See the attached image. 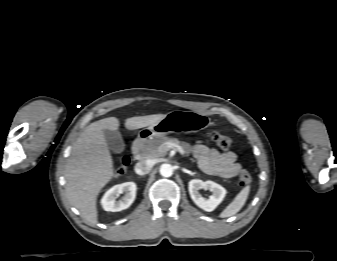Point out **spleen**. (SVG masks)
Returning <instances> with one entry per match:
<instances>
[{
    "label": "spleen",
    "mask_w": 337,
    "mask_h": 261,
    "mask_svg": "<svg viewBox=\"0 0 337 261\" xmlns=\"http://www.w3.org/2000/svg\"><path fill=\"white\" fill-rule=\"evenodd\" d=\"M250 192V186L244 187L234 200L220 213L221 218H226L238 213L244 206Z\"/></svg>",
    "instance_id": "3e777b00"
}]
</instances>
